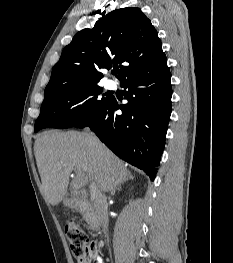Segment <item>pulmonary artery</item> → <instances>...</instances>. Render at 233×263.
<instances>
[{
	"instance_id": "obj_1",
	"label": "pulmonary artery",
	"mask_w": 233,
	"mask_h": 263,
	"mask_svg": "<svg viewBox=\"0 0 233 263\" xmlns=\"http://www.w3.org/2000/svg\"><path fill=\"white\" fill-rule=\"evenodd\" d=\"M106 86L109 88V89H112L115 87V83L112 81V80H108L106 82Z\"/></svg>"
}]
</instances>
